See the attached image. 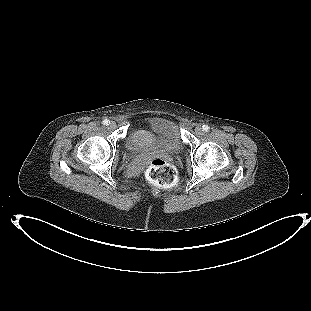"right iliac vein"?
Listing matches in <instances>:
<instances>
[{
    "label": "right iliac vein",
    "mask_w": 311,
    "mask_h": 311,
    "mask_svg": "<svg viewBox=\"0 0 311 311\" xmlns=\"http://www.w3.org/2000/svg\"><path fill=\"white\" fill-rule=\"evenodd\" d=\"M109 128L115 129L116 128V122H114V121L109 122Z\"/></svg>",
    "instance_id": "right-iliac-vein-1"
}]
</instances>
